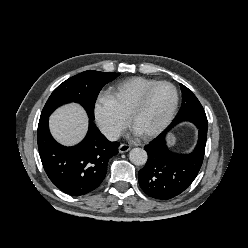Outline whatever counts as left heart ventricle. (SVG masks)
I'll use <instances>...</instances> for the list:
<instances>
[{
	"label": "left heart ventricle",
	"instance_id": "obj_1",
	"mask_svg": "<svg viewBox=\"0 0 248 248\" xmlns=\"http://www.w3.org/2000/svg\"><path fill=\"white\" fill-rule=\"evenodd\" d=\"M174 101L171 87L162 85L153 90L144 108L134 119L133 128L138 134H145L158 127L169 114Z\"/></svg>",
	"mask_w": 248,
	"mask_h": 248
}]
</instances>
